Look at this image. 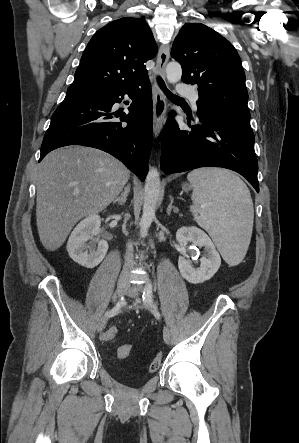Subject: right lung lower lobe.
<instances>
[{
	"instance_id": "obj_1",
	"label": "right lung lower lobe",
	"mask_w": 299,
	"mask_h": 443,
	"mask_svg": "<svg viewBox=\"0 0 299 443\" xmlns=\"http://www.w3.org/2000/svg\"><path fill=\"white\" fill-rule=\"evenodd\" d=\"M125 94L133 99L129 113L111 112L112 106L120 103ZM152 118L148 78L134 86L103 91L98 97H65L52 115L39 161L59 147L89 146L121 160L143 181L151 152ZM123 121L127 125L122 124Z\"/></svg>"
}]
</instances>
